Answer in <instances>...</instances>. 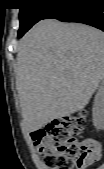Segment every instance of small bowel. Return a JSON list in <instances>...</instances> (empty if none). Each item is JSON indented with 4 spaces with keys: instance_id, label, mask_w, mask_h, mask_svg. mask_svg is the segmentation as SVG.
I'll list each match as a JSON object with an SVG mask.
<instances>
[{
    "instance_id": "small-bowel-1",
    "label": "small bowel",
    "mask_w": 104,
    "mask_h": 169,
    "mask_svg": "<svg viewBox=\"0 0 104 169\" xmlns=\"http://www.w3.org/2000/svg\"><path fill=\"white\" fill-rule=\"evenodd\" d=\"M90 140H92V142L96 145V147L99 151V154H101L102 146H101L100 142H98L97 140H94V139H90Z\"/></svg>"
}]
</instances>
